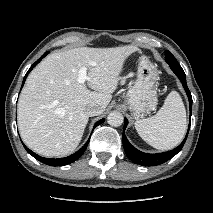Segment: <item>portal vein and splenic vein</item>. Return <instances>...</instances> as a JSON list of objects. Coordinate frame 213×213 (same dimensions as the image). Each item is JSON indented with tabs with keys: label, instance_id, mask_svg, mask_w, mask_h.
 I'll list each match as a JSON object with an SVG mask.
<instances>
[{
	"label": "portal vein and splenic vein",
	"instance_id": "obj_1",
	"mask_svg": "<svg viewBox=\"0 0 213 213\" xmlns=\"http://www.w3.org/2000/svg\"><path fill=\"white\" fill-rule=\"evenodd\" d=\"M88 79L87 77V68L86 67H82L79 69L78 71V83L80 84H84V82Z\"/></svg>",
	"mask_w": 213,
	"mask_h": 213
}]
</instances>
